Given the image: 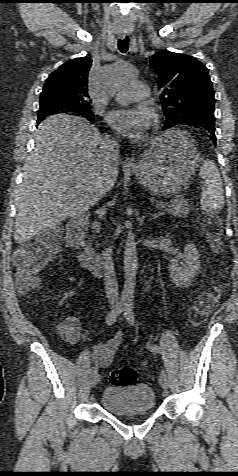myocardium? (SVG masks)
I'll return each mask as SVG.
<instances>
[{
  "label": "myocardium",
  "instance_id": "obj_1",
  "mask_svg": "<svg viewBox=\"0 0 238 476\" xmlns=\"http://www.w3.org/2000/svg\"><path fill=\"white\" fill-rule=\"evenodd\" d=\"M157 119H158L157 115L154 114V122H155V123L157 122Z\"/></svg>",
  "mask_w": 238,
  "mask_h": 476
}]
</instances>
